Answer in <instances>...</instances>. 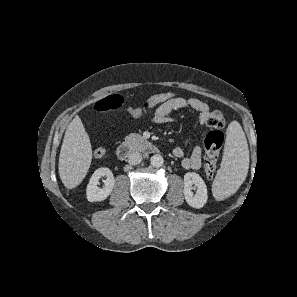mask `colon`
I'll list each match as a JSON object with an SVG mask.
<instances>
[{
  "instance_id": "5ec220e1",
  "label": "colon",
  "mask_w": 297,
  "mask_h": 297,
  "mask_svg": "<svg viewBox=\"0 0 297 297\" xmlns=\"http://www.w3.org/2000/svg\"><path fill=\"white\" fill-rule=\"evenodd\" d=\"M174 94L171 92L161 93L146 99L139 107L141 110L151 109L169 99H172ZM125 104V99L121 95H111L96 103L94 109L99 112L115 111L122 108ZM225 124V118L220 110H214L210 113L207 125L211 131L204 139V170L208 180H212L215 175L217 160L223 145L224 136L220 129ZM106 151L104 148H97L94 151L96 158H102Z\"/></svg>"
}]
</instances>
